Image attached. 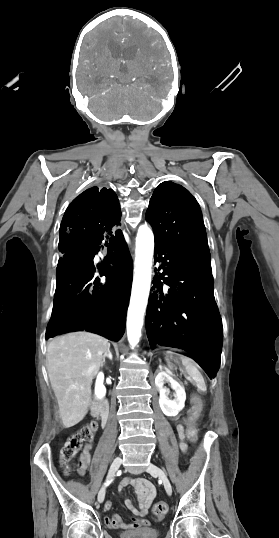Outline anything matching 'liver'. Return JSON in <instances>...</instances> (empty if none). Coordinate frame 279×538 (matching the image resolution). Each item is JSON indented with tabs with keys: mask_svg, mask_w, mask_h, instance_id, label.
Instances as JSON below:
<instances>
[{
	"mask_svg": "<svg viewBox=\"0 0 279 538\" xmlns=\"http://www.w3.org/2000/svg\"><path fill=\"white\" fill-rule=\"evenodd\" d=\"M108 342L89 332H73L49 342L47 372L65 428L76 426L86 416L92 380L102 364Z\"/></svg>",
	"mask_w": 279,
	"mask_h": 538,
	"instance_id": "6515ba94",
	"label": "liver"
}]
</instances>
